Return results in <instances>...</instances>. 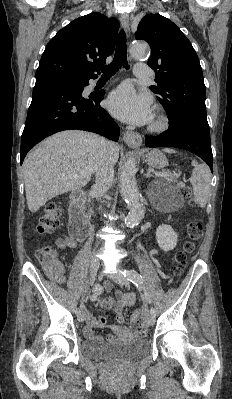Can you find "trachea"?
I'll list each match as a JSON object with an SVG mask.
<instances>
[{"label":"trachea","mask_w":232,"mask_h":399,"mask_svg":"<svg viewBox=\"0 0 232 399\" xmlns=\"http://www.w3.org/2000/svg\"><path fill=\"white\" fill-rule=\"evenodd\" d=\"M123 66L129 69L127 61L126 35L123 30L119 32L117 38V45L113 61L109 65H102L99 69L102 72V77H112Z\"/></svg>","instance_id":"trachea-1"}]
</instances>
